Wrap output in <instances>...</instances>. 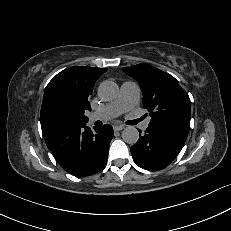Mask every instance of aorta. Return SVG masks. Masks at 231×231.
I'll return each mask as SVG.
<instances>
[{"mask_svg":"<svg viewBox=\"0 0 231 231\" xmlns=\"http://www.w3.org/2000/svg\"><path fill=\"white\" fill-rule=\"evenodd\" d=\"M118 85L111 81H103L98 88V95L103 100H112L117 96ZM122 139L128 144H135L139 139V132L134 126H128L122 131Z\"/></svg>","mask_w":231,"mask_h":231,"instance_id":"obj_1","label":"aorta"}]
</instances>
